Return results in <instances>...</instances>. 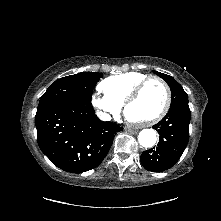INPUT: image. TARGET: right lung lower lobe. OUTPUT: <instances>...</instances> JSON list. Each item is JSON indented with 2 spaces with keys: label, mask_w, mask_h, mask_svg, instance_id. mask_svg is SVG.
<instances>
[{
  "label": "right lung lower lobe",
  "mask_w": 221,
  "mask_h": 221,
  "mask_svg": "<svg viewBox=\"0 0 221 221\" xmlns=\"http://www.w3.org/2000/svg\"><path fill=\"white\" fill-rule=\"evenodd\" d=\"M41 151L59 168L82 173L97 167L108 154L115 133L123 130L101 121L91 105L67 101L35 116Z\"/></svg>",
  "instance_id": "right-lung-lower-lobe-1"
}]
</instances>
